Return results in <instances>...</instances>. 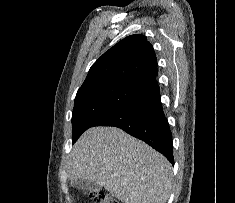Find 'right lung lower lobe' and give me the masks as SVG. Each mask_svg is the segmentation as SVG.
Instances as JSON below:
<instances>
[{"instance_id":"right-lung-lower-lobe-1","label":"right lung lower lobe","mask_w":235,"mask_h":203,"mask_svg":"<svg viewBox=\"0 0 235 203\" xmlns=\"http://www.w3.org/2000/svg\"><path fill=\"white\" fill-rule=\"evenodd\" d=\"M94 126H114L146 142L174 165L172 134L164 115L158 84L98 120Z\"/></svg>"}]
</instances>
